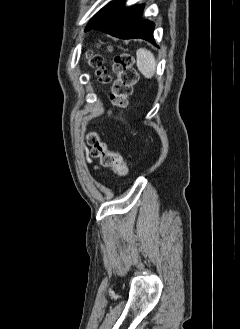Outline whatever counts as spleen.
<instances>
[{
  "label": "spleen",
  "mask_w": 240,
  "mask_h": 329,
  "mask_svg": "<svg viewBox=\"0 0 240 329\" xmlns=\"http://www.w3.org/2000/svg\"><path fill=\"white\" fill-rule=\"evenodd\" d=\"M137 55V67L139 71L148 79H151L156 70V60L151 51L140 48L136 52Z\"/></svg>",
  "instance_id": "obj_1"
}]
</instances>
